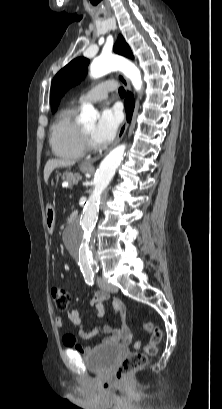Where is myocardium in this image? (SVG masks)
Listing matches in <instances>:
<instances>
[{
    "label": "myocardium",
    "instance_id": "obj_1",
    "mask_svg": "<svg viewBox=\"0 0 222 409\" xmlns=\"http://www.w3.org/2000/svg\"><path fill=\"white\" fill-rule=\"evenodd\" d=\"M81 134H82V142H83L84 148L87 149V150H94L95 146H94L89 134L84 129V127H82V129H81Z\"/></svg>",
    "mask_w": 222,
    "mask_h": 409
}]
</instances>
